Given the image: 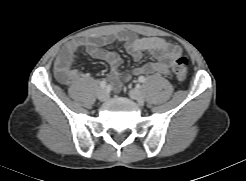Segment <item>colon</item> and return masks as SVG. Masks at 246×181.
Masks as SVG:
<instances>
[{"instance_id": "colon-1", "label": "colon", "mask_w": 246, "mask_h": 181, "mask_svg": "<svg viewBox=\"0 0 246 181\" xmlns=\"http://www.w3.org/2000/svg\"><path fill=\"white\" fill-rule=\"evenodd\" d=\"M172 71L174 77L179 82H183L187 77L188 72V60L186 57L180 56L173 61ZM66 82L72 81V76L66 77Z\"/></svg>"}]
</instances>
